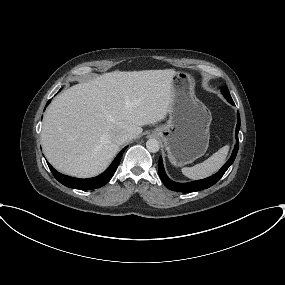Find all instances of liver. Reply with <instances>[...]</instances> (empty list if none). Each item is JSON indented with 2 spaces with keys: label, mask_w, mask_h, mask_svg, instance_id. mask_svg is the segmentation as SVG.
I'll list each match as a JSON object with an SVG mask.
<instances>
[{
  "label": "liver",
  "mask_w": 285,
  "mask_h": 285,
  "mask_svg": "<svg viewBox=\"0 0 285 285\" xmlns=\"http://www.w3.org/2000/svg\"><path fill=\"white\" fill-rule=\"evenodd\" d=\"M173 69L114 71L58 95L43 120L46 158L58 171L89 178L104 171L119 150L113 133L137 138L142 126L163 120L173 98Z\"/></svg>",
  "instance_id": "1"
}]
</instances>
